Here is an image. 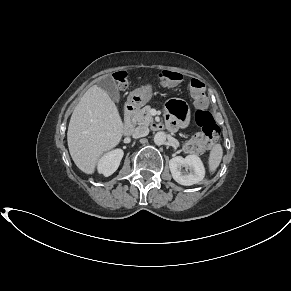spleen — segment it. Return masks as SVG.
I'll return each mask as SVG.
<instances>
[{
	"instance_id": "obj_1",
	"label": "spleen",
	"mask_w": 291,
	"mask_h": 291,
	"mask_svg": "<svg viewBox=\"0 0 291 291\" xmlns=\"http://www.w3.org/2000/svg\"><path fill=\"white\" fill-rule=\"evenodd\" d=\"M223 157V149L220 144H216L210 151L208 158L209 171L215 172Z\"/></svg>"
}]
</instances>
